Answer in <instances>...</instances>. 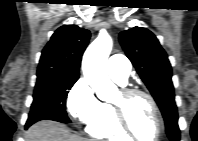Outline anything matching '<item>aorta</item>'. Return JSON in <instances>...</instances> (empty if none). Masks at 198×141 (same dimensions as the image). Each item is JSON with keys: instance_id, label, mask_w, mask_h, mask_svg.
Listing matches in <instances>:
<instances>
[{"instance_id": "1", "label": "aorta", "mask_w": 198, "mask_h": 141, "mask_svg": "<svg viewBox=\"0 0 198 141\" xmlns=\"http://www.w3.org/2000/svg\"><path fill=\"white\" fill-rule=\"evenodd\" d=\"M113 41L107 33H100L88 46L82 60V70L89 85L103 101H111L117 92L107 74V60Z\"/></svg>"}]
</instances>
